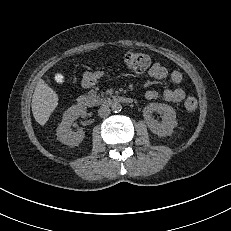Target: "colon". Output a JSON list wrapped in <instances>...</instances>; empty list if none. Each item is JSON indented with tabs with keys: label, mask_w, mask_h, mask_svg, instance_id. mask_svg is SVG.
Listing matches in <instances>:
<instances>
[{
	"label": "colon",
	"mask_w": 231,
	"mask_h": 231,
	"mask_svg": "<svg viewBox=\"0 0 231 231\" xmlns=\"http://www.w3.org/2000/svg\"><path fill=\"white\" fill-rule=\"evenodd\" d=\"M124 64L132 72L142 73L150 68L152 65L151 58L139 52H127L124 55ZM197 100L196 98L189 96L184 101V109L187 112H194L197 109Z\"/></svg>",
	"instance_id": "1"
}]
</instances>
